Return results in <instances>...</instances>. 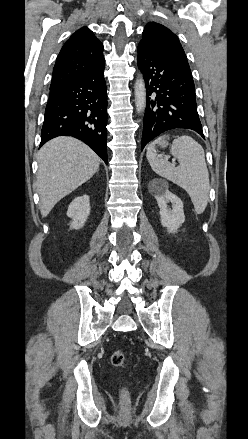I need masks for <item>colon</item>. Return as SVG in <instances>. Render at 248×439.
<instances>
[{
  "mask_svg": "<svg viewBox=\"0 0 248 439\" xmlns=\"http://www.w3.org/2000/svg\"><path fill=\"white\" fill-rule=\"evenodd\" d=\"M111 362L116 367H123L126 364V355L123 351H115L111 356ZM120 397L122 401H127L129 398V392L127 389L123 388L120 391Z\"/></svg>",
  "mask_w": 248,
  "mask_h": 439,
  "instance_id": "colon-1",
  "label": "colon"
}]
</instances>
